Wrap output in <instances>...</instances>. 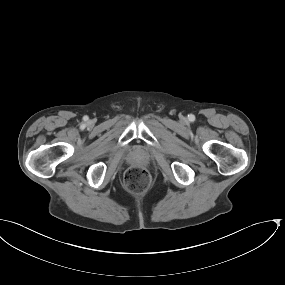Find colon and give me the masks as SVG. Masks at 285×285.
<instances>
[{"label": "colon", "instance_id": "colon-1", "mask_svg": "<svg viewBox=\"0 0 285 285\" xmlns=\"http://www.w3.org/2000/svg\"><path fill=\"white\" fill-rule=\"evenodd\" d=\"M124 184L128 191L141 194L146 192L150 187L151 176L142 167H132L125 173Z\"/></svg>", "mask_w": 285, "mask_h": 285}]
</instances>
